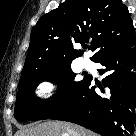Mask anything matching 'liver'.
Wrapping results in <instances>:
<instances>
[{
    "label": "liver",
    "mask_w": 136,
    "mask_h": 136,
    "mask_svg": "<svg viewBox=\"0 0 136 136\" xmlns=\"http://www.w3.org/2000/svg\"><path fill=\"white\" fill-rule=\"evenodd\" d=\"M15 136H95L83 127L58 121H47L31 125L20 131Z\"/></svg>",
    "instance_id": "6515ba94"
}]
</instances>
